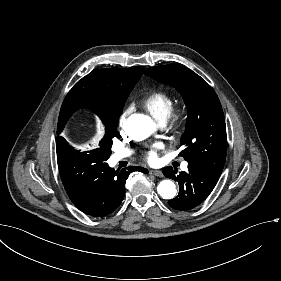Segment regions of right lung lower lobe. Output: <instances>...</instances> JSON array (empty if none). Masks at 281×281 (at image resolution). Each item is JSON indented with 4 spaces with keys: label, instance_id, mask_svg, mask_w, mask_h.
I'll return each mask as SVG.
<instances>
[{
    "label": "right lung lower lobe",
    "instance_id": "obj_1",
    "mask_svg": "<svg viewBox=\"0 0 281 281\" xmlns=\"http://www.w3.org/2000/svg\"><path fill=\"white\" fill-rule=\"evenodd\" d=\"M58 165L65 190L73 204L85 214L102 217L120 206L125 195L128 175L142 167H128L121 171L110 168L96 149L79 152L66 140L56 139Z\"/></svg>",
    "mask_w": 281,
    "mask_h": 281
}]
</instances>
